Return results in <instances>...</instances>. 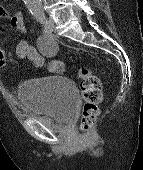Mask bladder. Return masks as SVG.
<instances>
[{"mask_svg":"<svg viewBox=\"0 0 143 170\" xmlns=\"http://www.w3.org/2000/svg\"><path fill=\"white\" fill-rule=\"evenodd\" d=\"M15 93L29 115L52 122L69 120L78 104L74 83L59 75L26 80L16 87Z\"/></svg>","mask_w":143,"mask_h":170,"instance_id":"31cf9c89","label":"bladder"}]
</instances>
